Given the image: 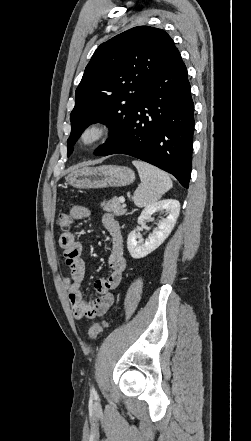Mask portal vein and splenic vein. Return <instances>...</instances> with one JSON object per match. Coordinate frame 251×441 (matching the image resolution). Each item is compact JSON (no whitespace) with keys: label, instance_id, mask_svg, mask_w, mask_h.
<instances>
[{"label":"portal vein and splenic vein","instance_id":"18ae733b","mask_svg":"<svg viewBox=\"0 0 251 441\" xmlns=\"http://www.w3.org/2000/svg\"><path fill=\"white\" fill-rule=\"evenodd\" d=\"M119 201H120L121 203H124V202H125V198H124L123 196H121V197H119Z\"/></svg>","mask_w":251,"mask_h":441}]
</instances>
